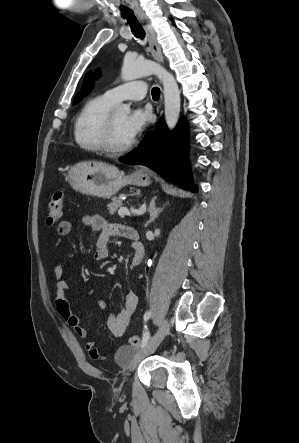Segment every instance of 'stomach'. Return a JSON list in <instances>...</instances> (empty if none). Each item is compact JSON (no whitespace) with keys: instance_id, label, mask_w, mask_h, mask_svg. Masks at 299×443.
<instances>
[{"instance_id":"1","label":"stomach","mask_w":299,"mask_h":443,"mask_svg":"<svg viewBox=\"0 0 299 443\" xmlns=\"http://www.w3.org/2000/svg\"><path fill=\"white\" fill-rule=\"evenodd\" d=\"M66 180L80 193L110 198L128 184L148 186L151 183L147 173L136 171L124 176L113 165L78 163L68 171Z\"/></svg>"}]
</instances>
